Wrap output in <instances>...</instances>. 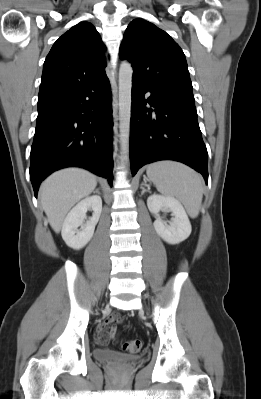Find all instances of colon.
Masks as SVG:
<instances>
[{
    "label": "colon",
    "instance_id": "1",
    "mask_svg": "<svg viewBox=\"0 0 261 399\" xmlns=\"http://www.w3.org/2000/svg\"><path fill=\"white\" fill-rule=\"evenodd\" d=\"M143 343L139 339L128 340L123 343V349L129 353H138L142 350Z\"/></svg>",
    "mask_w": 261,
    "mask_h": 399
}]
</instances>
